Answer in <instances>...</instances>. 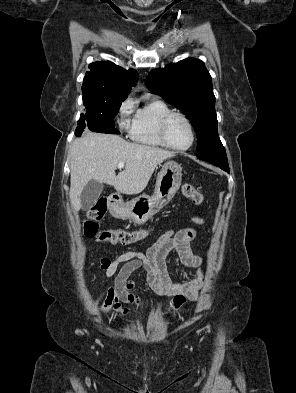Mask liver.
I'll return each instance as SVG.
<instances>
[{"mask_svg": "<svg viewBox=\"0 0 296 393\" xmlns=\"http://www.w3.org/2000/svg\"><path fill=\"white\" fill-rule=\"evenodd\" d=\"M70 155L69 194L76 211L81 208L80 196L89 181L113 185L119 193L138 194L146 188L157 165L175 156L173 152L130 143L116 135L90 131L74 140ZM120 162H124V170L116 175Z\"/></svg>", "mask_w": 296, "mask_h": 393, "instance_id": "6515ba94", "label": "liver"}]
</instances>
